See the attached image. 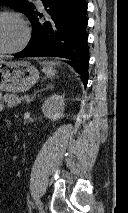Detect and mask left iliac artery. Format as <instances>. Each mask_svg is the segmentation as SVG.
<instances>
[{"label": "left iliac artery", "instance_id": "left-iliac-artery-1", "mask_svg": "<svg viewBox=\"0 0 128 213\" xmlns=\"http://www.w3.org/2000/svg\"><path fill=\"white\" fill-rule=\"evenodd\" d=\"M36 205H37L38 209H41V205H42L41 201L36 200Z\"/></svg>", "mask_w": 128, "mask_h": 213}]
</instances>
